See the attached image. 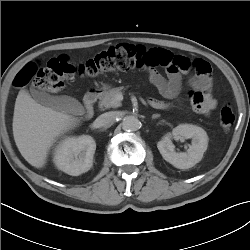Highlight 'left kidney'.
Wrapping results in <instances>:
<instances>
[{"instance_id":"5707ae66","label":"left kidney","mask_w":250,"mask_h":250,"mask_svg":"<svg viewBox=\"0 0 250 250\" xmlns=\"http://www.w3.org/2000/svg\"><path fill=\"white\" fill-rule=\"evenodd\" d=\"M175 140L192 139L187 152H176L172 143ZM208 136L204 129L192 124H180L166 134L158 143L157 148L162 157L178 169H189L199 163L207 150Z\"/></svg>"}]
</instances>
